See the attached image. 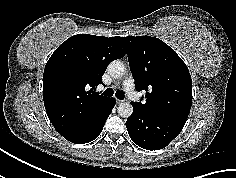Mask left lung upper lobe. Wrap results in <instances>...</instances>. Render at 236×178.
I'll return each mask as SVG.
<instances>
[{"instance_id":"5c2ea615","label":"left lung upper lobe","mask_w":236,"mask_h":178,"mask_svg":"<svg viewBox=\"0 0 236 178\" xmlns=\"http://www.w3.org/2000/svg\"><path fill=\"white\" fill-rule=\"evenodd\" d=\"M124 41L135 87L146 92L144 104H132L185 124L192 104V80L186 64L158 38L128 36Z\"/></svg>"}]
</instances>
